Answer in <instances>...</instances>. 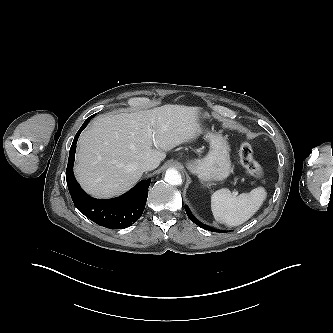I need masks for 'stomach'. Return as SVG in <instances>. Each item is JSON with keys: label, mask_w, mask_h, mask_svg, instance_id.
Here are the masks:
<instances>
[{"label": "stomach", "mask_w": 333, "mask_h": 333, "mask_svg": "<svg viewBox=\"0 0 333 333\" xmlns=\"http://www.w3.org/2000/svg\"><path fill=\"white\" fill-rule=\"evenodd\" d=\"M206 138L210 145L208 154L202 159L187 161V168L201 182L222 181L232 171L229 144L219 133H207Z\"/></svg>", "instance_id": "1"}]
</instances>
